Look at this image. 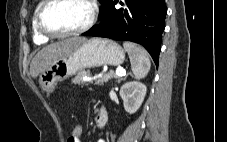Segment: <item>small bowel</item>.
I'll use <instances>...</instances> for the list:
<instances>
[{
  "label": "small bowel",
  "mask_w": 227,
  "mask_h": 142,
  "mask_svg": "<svg viewBox=\"0 0 227 142\" xmlns=\"http://www.w3.org/2000/svg\"><path fill=\"white\" fill-rule=\"evenodd\" d=\"M67 142H81V140L75 141L69 136L68 139H67ZM97 142H106V141L104 139H100Z\"/></svg>",
  "instance_id": "1"
}]
</instances>
